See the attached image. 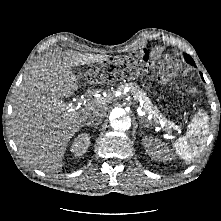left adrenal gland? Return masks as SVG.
Returning <instances> with one entry per match:
<instances>
[{"label": "left adrenal gland", "instance_id": "a2214340", "mask_svg": "<svg viewBox=\"0 0 221 221\" xmlns=\"http://www.w3.org/2000/svg\"><path fill=\"white\" fill-rule=\"evenodd\" d=\"M146 122H148V121H147V120H146V121L140 120V123H141L142 125H144V123H146Z\"/></svg>", "mask_w": 221, "mask_h": 221}]
</instances>
